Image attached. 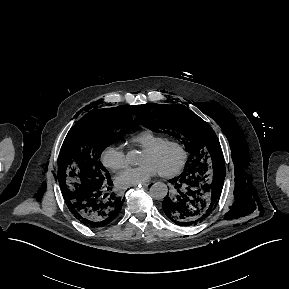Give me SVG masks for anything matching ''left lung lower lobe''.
I'll return each mask as SVG.
<instances>
[{"label":"left lung lower lobe","instance_id":"1","mask_svg":"<svg viewBox=\"0 0 289 289\" xmlns=\"http://www.w3.org/2000/svg\"><path fill=\"white\" fill-rule=\"evenodd\" d=\"M224 177L222 165L210 172L202 168L186 171L169 180L174 190L163 200L165 215L181 226L201 223L216 208Z\"/></svg>","mask_w":289,"mask_h":289}]
</instances>
